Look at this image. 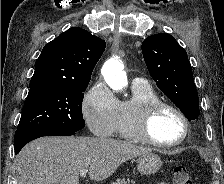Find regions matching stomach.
Listing matches in <instances>:
<instances>
[{"label":"stomach","instance_id":"stomach-1","mask_svg":"<svg viewBox=\"0 0 224 184\" xmlns=\"http://www.w3.org/2000/svg\"><path fill=\"white\" fill-rule=\"evenodd\" d=\"M162 165L160 157L155 153H147L138 156L137 169L141 175H151L156 173Z\"/></svg>","mask_w":224,"mask_h":184}]
</instances>
